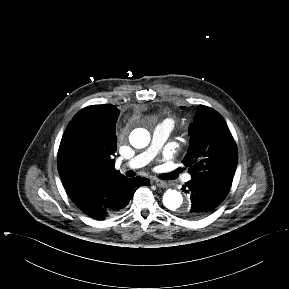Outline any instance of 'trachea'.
I'll return each instance as SVG.
<instances>
[{"instance_id":"trachea-1","label":"trachea","mask_w":289,"mask_h":289,"mask_svg":"<svg viewBox=\"0 0 289 289\" xmlns=\"http://www.w3.org/2000/svg\"><path fill=\"white\" fill-rule=\"evenodd\" d=\"M131 173H133V172H132V171H129V172L127 173V175H128L129 177H132L133 174H131Z\"/></svg>"}]
</instances>
